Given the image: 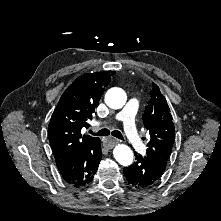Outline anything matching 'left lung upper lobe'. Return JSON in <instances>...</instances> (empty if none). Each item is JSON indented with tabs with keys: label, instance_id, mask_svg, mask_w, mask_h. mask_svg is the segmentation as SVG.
Here are the masks:
<instances>
[{
	"label": "left lung upper lobe",
	"instance_id": "1",
	"mask_svg": "<svg viewBox=\"0 0 221 221\" xmlns=\"http://www.w3.org/2000/svg\"><path fill=\"white\" fill-rule=\"evenodd\" d=\"M150 95L142 117L151 136L146 157L165 169L174 143V124L167 101L156 84Z\"/></svg>",
	"mask_w": 221,
	"mask_h": 221
}]
</instances>
